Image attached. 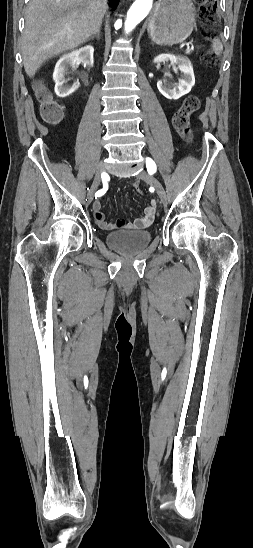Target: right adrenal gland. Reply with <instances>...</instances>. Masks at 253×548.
<instances>
[{
    "mask_svg": "<svg viewBox=\"0 0 253 548\" xmlns=\"http://www.w3.org/2000/svg\"><path fill=\"white\" fill-rule=\"evenodd\" d=\"M97 38V40H100V30H98L95 34H93L90 39H94V38Z\"/></svg>",
    "mask_w": 253,
    "mask_h": 548,
    "instance_id": "obj_1",
    "label": "right adrenal gland"
}]
</instances>
